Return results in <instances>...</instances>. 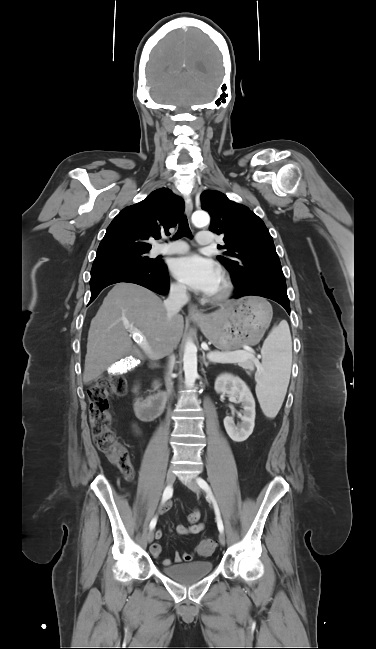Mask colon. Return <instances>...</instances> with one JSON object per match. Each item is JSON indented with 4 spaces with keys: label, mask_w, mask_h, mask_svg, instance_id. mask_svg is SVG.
Listing matches in <instances>:
<instances>
[{
    "label": "colon",
    "mask_w": 376,
    "mask_h": 649,
    "mask_svg": "<svg viewBox=\"0 0 376 649\" xmlns=\"http://www.w3.org/2000/svg\"><path fill=\"white\" fill-rule=\"evenodd\" d=\"M126 391L125 378L118 375L105 376L88 388L87 400L89 402V422L96 447L118 466L126 478L130 479L134 476V465L127 447L110 428L111 416L108 411L109 396L124 395ZM216 547L215 540L205 539L199 544L197 552L200 555H209Z\"/></svg>",
    "instance_id": "colon-1"
}]
</instances>
